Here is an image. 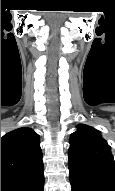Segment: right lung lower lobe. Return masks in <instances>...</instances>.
Listing matches in <instances>:
<instances>
[{"mask_svg":"<svg viewBox=\"0 0 115 191\" xmlns=\"http://www.w3.org/2000/svg\"><path fill=\"white\" fill-rule=\"evenodd\" d=\"M1 191H44V171L22 177H2Z\"/></svg>","mask_w":115,"mask_h":191,"instance_id":"1","label":"right lung lower lobe"}]
</instances>
